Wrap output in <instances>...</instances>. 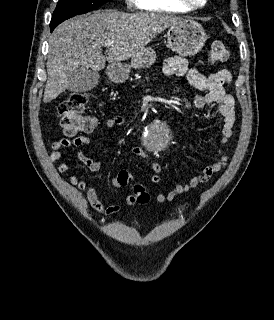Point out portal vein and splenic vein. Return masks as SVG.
<instances>
[{"mask_svg": "<svg viewBox=\"0 0 274 320\" xmlns=\"http://www.w3.org/2000/svg\"><path fill=\"white\" fill-rule=\"evenodd\" d=\"M112 44H114V42H105L104 46H112Z\"/></svg>", "mask_w": 274, "mask_h": 320, "instance_id": "portal-vein-and-splenic-vein-1", "label": "portal vein and splenic vein"}]
</instances>
